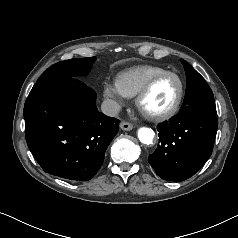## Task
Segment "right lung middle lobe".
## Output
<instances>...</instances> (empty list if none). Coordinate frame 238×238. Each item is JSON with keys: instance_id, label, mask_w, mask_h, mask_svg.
<instances>
[{"instance_id": "dd1d6c3e", "label": "right lung middle lobe", "mask_w": 238, "mask_h": 238, "mask_svg": "<svg viewBox=\"0 0 238 238\" xmlns=\"http://www.w3.org/2000/svg\"><path fill=\"white\" fill-rule=\"evenodd\" d=\"M94 61L95 57L76 58L58 62L44 71L37 82L70 78L76 75H86L90 69L89 64Z\"/></svg>"}]
</instances>
